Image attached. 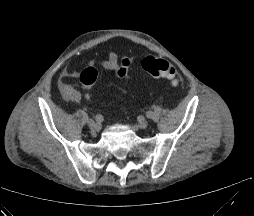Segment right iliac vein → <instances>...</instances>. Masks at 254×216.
I'll use <instances>...</instances> for the list:
<instances>
[{
  "label": "right iliac vein",
  "mask_w": 254,
  "mask_h": 216,
  "mask_svg": "<svg viewBox=\"0 0 254 216\" xmlns=\"http://www.w3.org/2000/svg\"><path fill=\"white\" fill-rule=\"evenodd\" d=\"M87 124L89 126L90 129L97 131L100 128V125L98 123H96L94 120L89 119L87 121Z\"/></svg>",
  "instance_id": "63e3f726"
}]
</instances>
